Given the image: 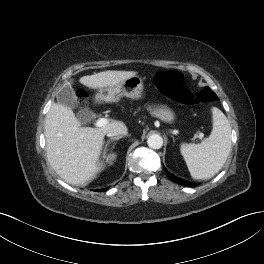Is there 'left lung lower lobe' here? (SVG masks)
<instances>
[{
  "instance_id": "1",
  "label": "left lung lower lobe",
  "mask_w": 264,
  "mask_h": 264,
  "mask_svg": "<svg viewBox=\"0 0 264 264\" xmlns=\"http://www.w3.org/2000/svg\"><path fill=\"white\" fill-rule=\"evenodd\" d=\"M164 170H165L167 176H168L170 179H172L174 182H176V183H178V184H182V185L190 186V187H191V186H196V184H194V183H190V182L185 181V180H183V179H181V178L175 177L174 175L170 174L165 168H164Z\"/></svg>"
}]
</instances>
